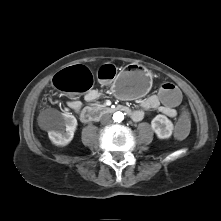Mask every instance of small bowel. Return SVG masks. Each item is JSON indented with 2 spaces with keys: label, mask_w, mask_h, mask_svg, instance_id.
I'll return each mask as SVG.
<instances>
[{
  "label": "small bowel",
  "mask_w": 221,
  "mask_h": 221,
  "mask_svg": "<svg viewBox=\"0 0 221 221\" xmlns=\"http://www.w3.org/2000/svg\"><path fill=\"white\" fill-rule=\"evenodd\" d=\"M99 97H100V92L97 89H91L87 91L86 94L84 95V99L86 102H94ZM68 106L77 113H79L82 110V103L76 98H71L68 101ZM140 106L141 109L134 110L131 113L133 120L137 122L141 121L144 118L146 111H151V110H158L159 112L170 118H174L177 116V110L166 108L161 103V100L158 98L157 94L150 95L148 97L141 99Z\"/></svg>",
  "instance_id": "1"
}]
</instances>
